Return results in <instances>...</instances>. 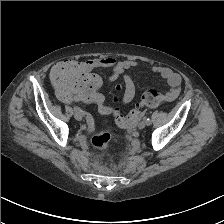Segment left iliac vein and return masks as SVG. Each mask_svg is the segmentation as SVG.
I'll return each mask as SVG.
<instances>
[{
  "instance_id": "left-iliac-vein-1",
  "label": "left iliac vein",
  "mask_w": 224,
  "mask_h": 224,
  "mask_svg": "<svg viewBox=\"0 0 224 224\" xmlns=\"http://www.w3.org/2000/svg\"><path fill=\"white\" fill-rule=\"evenodd\" d=\"M146 127V122L145 121H141L139 124H138V128L139 129H144Z\"/></svg>"
}]
</instances>
